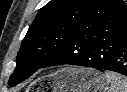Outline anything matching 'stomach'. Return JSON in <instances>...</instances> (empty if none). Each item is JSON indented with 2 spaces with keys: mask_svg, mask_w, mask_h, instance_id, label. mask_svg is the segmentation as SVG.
I'll return each mask as SVG.
<instances>
[{
  "mask_svg": "<svg viewBox=\"0 0 127 92\" xmlns=\"http://www.w3.org/2000/svg\"><path fill=\"white\" fill-rule=\"evenodd\" d=\"M51 92H105L109 88L104 75L92 68L65 67L49 76Z\"/></svg>",
  "mask_w": 127,
  "mask_h": 92,
  "instance_id": "1",
  "label": "stomach"
}]
</instances>
